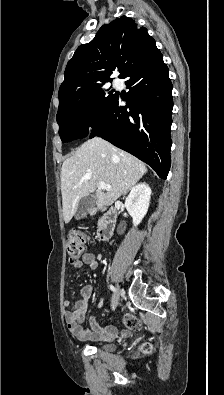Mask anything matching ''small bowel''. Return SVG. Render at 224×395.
Here are the masks:
<instances>
[{
	"label": "small bowel",
	"instance_id": "obj_1",
	"mask_svg": "<svg viewBox=\"0 0 224 395\" xmlns=\"http://www.w3.org/2000/svg\"><path fill=\"white\" fill-rule=\"evenodd\" d=\"M83 264H86L91 270H95L98 267V261L92 253H85L82 256V260L73 265L76 268H82ZM92 293L93 287L86 285L81 289L80 299L74 305L71 306L69 300L64 301V307L68 308L64 313V318L71 334L79 340H111L118 337H126L128 335L126 330L119 331L113 325L102 327L93 317L89 319V328L83 327L82 323L87 313Z\"/></svg>",
	"mask_w": 224,
	"mask_h": 395
}]
</instances>
